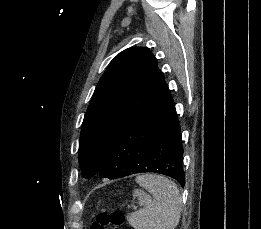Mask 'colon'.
<instances>
[{
  "mask_svg": "<svg viewBox=\"0 0 261 229\" xmlns=\"http://www.w3.org/2000/svg\"><path fill=\"white\" fill-rule=\"evenodd\" d=\"M125 221L126 217L121 211L101 212L91 224L90 229H122Z\"/></svg>",
  "mask_w": 261,
  "mask_h": 229,
  "instance_id": "5ec220e1",
  "label": "colon"
}]
</instances>
